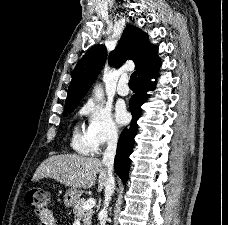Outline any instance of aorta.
Here are the masks:
<instances>
[{
	"label": "aorta",
	"mask_w": 228,
	"mask_h": 225,
	"mask_svg": "<svg viewBox=\"0 0 228 225\" xmlns=\"http://www.w3.org/2000/svg\"><path fill=\"white\" fill-rule=\"evenodd\" d=\"M94 96L96 100H101V98H103V88H100V86H95Z\"/></svg>",
	"instance_id": "762f6f07"
}]
</instances>
